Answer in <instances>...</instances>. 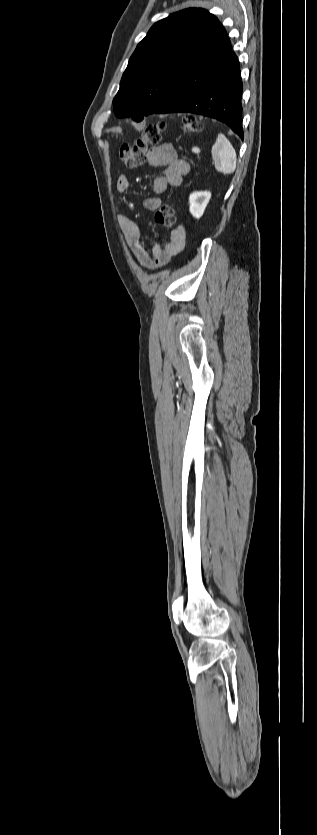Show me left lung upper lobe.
<instances>
[{"label": "left lung upper lobe", "instance_id": "5c2ea615", "mask_svg": "<svg viewBox=\"0 0 317 835\" xmlns=\"http://www.w3.org/2000/svg\"><path fill=\"white\" fill-rule=\"evenodd\" d=\"M219 25L214 15L199 8L155 23L129 60L113 100L115 114L141 121L163 106Z\"/></svg>", "mask_w": 317, "mask_h": 835}]
</instances>
